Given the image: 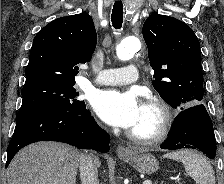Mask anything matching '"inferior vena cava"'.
Returning <instances> with one entry per match:
<instances>
[{
    "instance_id": "inferior-vena-cava-1",
    "label": "inferior vena cava",
    "mask_w": 224,
    "mask_h": 184,
    "mask_svg": "<svg viewBox=\"0 0 224 184\" xmlns=\"http://www.w3.org/2000/svg\"><path fill=\"white\" fill-rule=\"evenodd\" d=\"M96 161L97 158L92 153L81 154L79 171L82 184H99Z\"/></svg>"
}]
</instances>
